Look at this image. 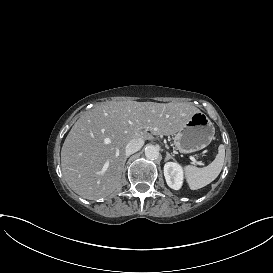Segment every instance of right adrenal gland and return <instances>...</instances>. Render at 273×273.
Returning a JSON list of instances; mask_svg holds the SVG:
<instances>
[{
	"label": "right adrenal gland",
	"mask_w": 273,
	"mask_h": 273,
	"mask_svg": "<svg viewBox=\"0 0 273 273\" xmlns=\"http://www.w3.org/2000/svg\"><path fill=\"white\" fill-rule=\"evenodd\" d=\"M129 157H130L129 155H128V156H126V157H125V161H126V160H127V158H129Z\"/></svg>",
	"instance_id": "obj_1"
}]
</instances>
